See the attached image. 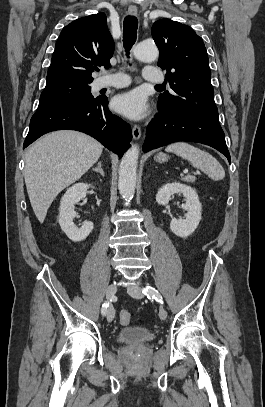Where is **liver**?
<instances>
[{
    "label": "liver",
    "mask_w": 265,
    "mask_h": 407,
    "mask_svg": "<svg viewBox=\"0 0 265 407\" xmlns=\"http://www.w3.org/2000/svg\"><path fill=\"white\" fill-rule=\"evenodd\" d=\"M102 151L97 140L73 130L49 133L27 149L24 179L40 223L56 196L80 179L98 161Z\"/></svg>",
    "instance_id": "obj_1"
}]
</instances>
